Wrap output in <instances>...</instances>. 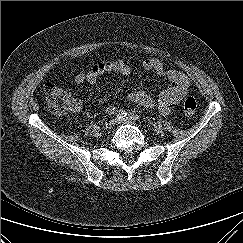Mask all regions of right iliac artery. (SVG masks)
<instances>
[{
	"mask_svg": "<svg viewBox=\"0 0 243 243\" xmlns=\"http://www.w3.org/2000/svg\"><path fill=\"white\" fill-rule=\"evenodd\" d=\"M127 116V112L124 110H120L117 114H116V118L117 119H123Z\"/></svg>",
	"mask_w": 243,
	"mask_h": 243,
	"instance_id": "82829eb1",
	"label": "right iliac artery"
}]
</instances>
